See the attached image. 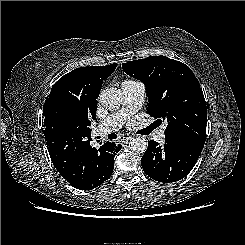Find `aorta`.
<instances>
[{"mask_svg": "<svg viewBox=\"0 0 245 245\" xmlns=\"http://www.w3.org/2000/svg\"><path fill=\"white\" fill-rule=\"evenodd\" d=\"M100 103L107 109H117L122 103V92L117 88L104 89L99 96ZM129 147L136 153H144L148 142L143 136H136L130 140Z\"/></svg>", "mask_w": 245, "mask_h": 245, "instance_id": "1", "label": "aorta"}]
</instances>
